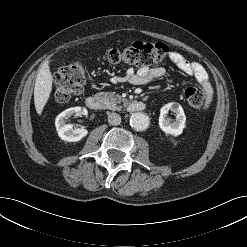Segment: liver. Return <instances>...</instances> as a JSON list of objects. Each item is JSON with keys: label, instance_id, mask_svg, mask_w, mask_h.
I'll return each mask as SVG.
<instances>
[{"label": "liver", "instance_id": "liver-1", "mask_svg": "<svg viewBox=\"0 0 247 247\" xmlns=\"http://www.w3.org/2000/svg\"><path fill=\"white\" fill-rule=\"evenodd\" d=\"M53 77L50 71L49 63H44L37 75L34 87V104L39 115L49 100L52 91Z\"/></svg>", "mask_w": 247, "mask_h": 247}]
</instances>
